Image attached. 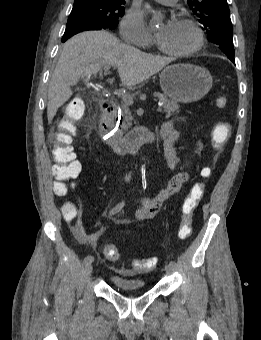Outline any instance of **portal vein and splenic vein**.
Masks as SVG:
<instances>
[{
    "mask_svg": "<svg viewBox=\"0 0 261 340\" xmlns=\"http://www.w3.org/2000/svg\"><path fill=\"white\" fill-rule=\"evenodd\" d=\"M110 66L106 65L104 66V71H109ZM122 100L124 101V103H126L127 105H132L133 104V96L130 94H123L122 95ZM162 104H159L156 111L157 112H161L162 111Z\"/></svg>",
    "mask_w": 261,
    "mask_h": 340,
    "instance_id": "1",
    "label": "portal vein and splenic vein"
}]
</instances>
